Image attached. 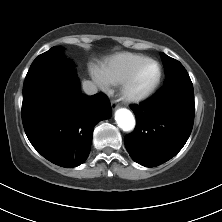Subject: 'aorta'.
<instances>
[{
    "label": "aorta",
    "instance_id": "762f6f07",
    "mask_svg": "<svg viewBox=\"0 0 222 222\" xmlns=\"http://www.w3.org/2000/svg\"><path fill=\"white\" fill-rule=\"evenodd\" d=\"M115 121L125 132L132 131L136 124L134 115L126 108H120L115 112Z\"/></svg>",
    "mask_w": 222,
    "mask_h": 222
}]
</instances>
